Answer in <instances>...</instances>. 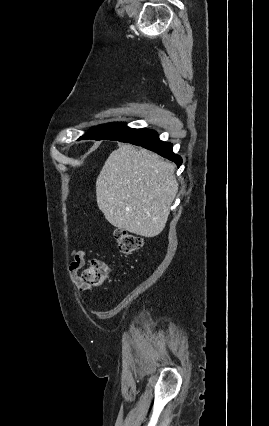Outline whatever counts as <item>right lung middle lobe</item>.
Masks as SVG:
<instances>
[{"label":"right lung middle lobe","mask_w":269,"mask_h":426,"mask_svg":"<svg viewBox=\"0 0 269 426\" xmlns=\"http://www.w3.org/2000/svg\"><path fill=\"white\" fill-rule=\"evenodd\" d=\"M135 129L127 127L124 123H109L99 127L92 128L81 139H94V140H120L126 138Z\"/></svg>","instance_id":"right-lung-middle-lobe-1"}]
</instances>
